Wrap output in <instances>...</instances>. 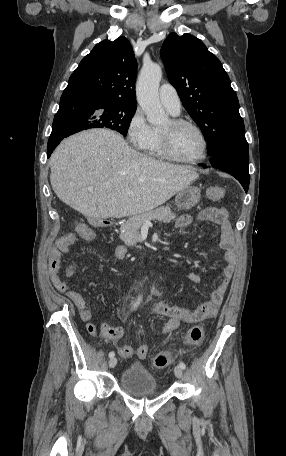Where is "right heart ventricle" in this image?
<instances>
[{
	"label": "right heart ventricle",
	"instance_id": "obj_1",
	"mask_svg": "<svg viewBox=\"0 0 286 456\" xmlns=\"http://www.w3.org/2000/svg\"><path fill=\"white\" fill-rule=\"evenodd\" d=\"M158 130L153 129L151 139L148 144L143 148V151L152 158L163 159V155L160 150L159 134Z\"/></svg>",
	"mask_w": 286,
	"mask_h": 456
}]
</instances>
